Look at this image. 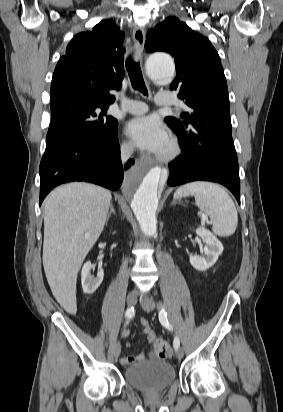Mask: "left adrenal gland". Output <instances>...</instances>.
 <instances>
[{"mask_svg": "<svg viewBox=\"0 0 283 412\" xmlns=\"http://www.w3.org/2000/svg\"><path fill=\"white\" fill-rule=\"evenodd\" d=\"M176 204V199L174 198L171 205H175Z\"/></svg>", "mask_w": 283, "mask_h": 412, "instance_id": "obj_1", "label": "left adrenal gland"}]
</instances>
